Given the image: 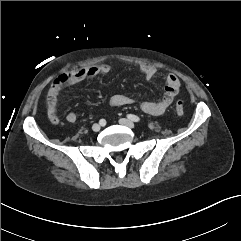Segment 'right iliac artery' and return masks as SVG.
I'll use <instances>...</instances> for the list:
<instances>
[{"instance_id": "obj_1", "label": "right iliac artery", "mask_w": 241, "mask_h": 241, "mask_svg": "<svg viewBox=\"0 0 241 241\" xmlns=\"http://www.w3.org/2000/svg\"><path fill=\"white\" fill-rule=\"evenodd\" d=\"M99 123H100L101 126H105L106 121H105L104 119H101V120L99 121Z\"/></svg>"}]
</instances>
